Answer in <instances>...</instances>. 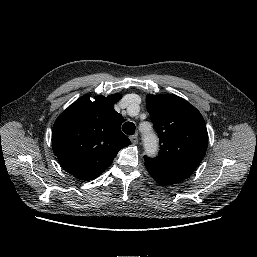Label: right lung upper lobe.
Returning <instances> with one entry per match:
<instances>
[{
    "instance_id": "1",
    "label": "right lung upper lobe",
    "mask_w": 257,
    "mask_h": 257,
    "mask_svg": "<svg viewBox=\"0 0 257 257\" xmlns=\"http://www.w3.org/2000/svg\"><path fill=\"white\" fill-rule=\"evenodd\" d=\"M120 94L80 97L55 121L52 148L60 165L85 181L97 178L118 151L131 144L121 130L123 117L114 110Z\"/></svg>"
}]
</instances>
